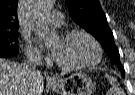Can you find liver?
<instances>
[{
  "instance_id": "obj_1",
  "label": "liver",
  "mask_w": 135,
  "mask_h": 95,
  "mask_svg": "<svg viewBox=\"0 0 135 95\" xmlns=\"http://www.w3.org/2000/svg\"><path fill=\"white\" fill-rule=\"evenodd\" d=\"M41 72L29 74L23 64L0 59V95H42Z\"/></svg>"
}]
</instances>
